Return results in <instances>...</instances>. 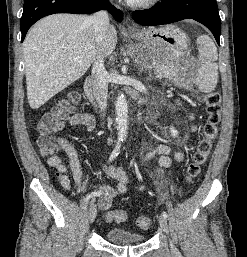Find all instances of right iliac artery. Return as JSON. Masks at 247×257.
<instances>
[{"mask_svg":"<svg viewBox=\"0 0 247 257\" xmlns=\"http://www.w3.org/2000/svg\"><path fill=\"white\" fill-rule=\"evenodd\" d=\"M119 150H120V142L117 143V145L115 146L113 152L111 153L110 157H109V162H111L112 160H114V158L116 156H118L119 154ZM97 193H90L89 195L86 196L85 198V203L87 204V202L89 201L90 198H92L93 196H97Z\"/></svg>","mask_w":247,"mask_h":257,"instance_id":"1","label":"right iliac artery"}]
</instances>
